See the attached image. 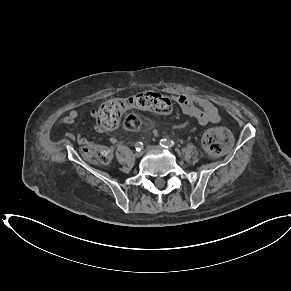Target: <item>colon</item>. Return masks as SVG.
Instances as JSON below:
<instances>
[{
    "label": "colon",
    "mask_w": 291,
    "mask_h": 291,
    "mask_svg": "<svg viewBox=\"0 0 291 291\" xmlns=\"http://www.w3.org/2000/svg\"><path fill=\"white\" fill-rule=\"evenodd\" d=\"M171 102L164 95L143 91L125 98L112 99L105 102L97 111V130L111 131L118 127L123 116L132 110L169 114ZM137 123L135 118L129 117V122ZM205 150L211 155H220L227 151L232 144V136L223 126H214L208 129L202 139ZM82 154L98 164H108L111 160L110 149L104 146L85 144Z\"/></svg>",
    "instance_id": "obj_1"
}]
</instances>
